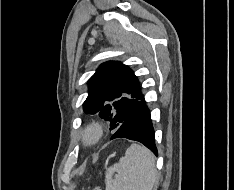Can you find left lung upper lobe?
Returning a JSON list of instances; mask_svg holds the SVG:
<instances>
[{"label": "left lung upper lobe", "mask_w": 234, "mask_h": 190, "mask_svg": "<svg viewBox=\"0 0 234 190\" xmlns=\"http://www.w3.org/2000/svg\"><path fill=\"white\" fill-rule=\"evenodd\" d=\"M88 97L83 107L87 114H98L116 131L143 94L134 72L118 61L100 65L88 80Z\"/></svg>", "instance_id": "left-lung-upper-lobe-1"}]
</instances>
